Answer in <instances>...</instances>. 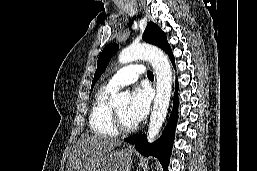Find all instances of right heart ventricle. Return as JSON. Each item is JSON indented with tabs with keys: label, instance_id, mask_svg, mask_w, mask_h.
I'll use <instances>...</instances> for the list:
<instances>
[{
	"label": "right heart ventricle",
	"instance_id": "e07e8e85",
	"mask_svg": "<svg viewBox=\"0 0 257 171\" xmlns=\"http://www.w3.org/2000/svg\"><path fill=\"white\" fill-rule=\"evenodd\" d=\"M116 89L108 84L102 86L96 93L89 113L91 131L99 136L114 137L118 131L114 128L110 99Z\"/></svg>",
	"mask_w": 257,
	"mask_h": 171
}]
</instances>
